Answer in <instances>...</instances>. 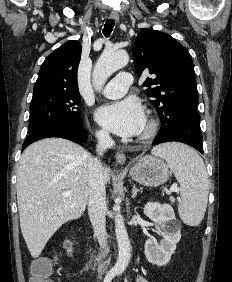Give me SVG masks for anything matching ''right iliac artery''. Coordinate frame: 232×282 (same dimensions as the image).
Segmentation results:
<instances>
[{
  "label": "right iliac artery",
  "instance_id": "82829eb1",
  "mask_svg": "<svg viewBox=\"0 0 232 282\" xmlns=\"http://www.w3.org/2000/svg\"><path fill=\"white\" fill-rule=\"evenodd\" d=\"M115 272L114 271H109L104 279L103 282H111V280L113 279V277L115 276Z\"/></svg>",
  "mask_w": 232,
  "mask_h": 282
}]
</instances>
